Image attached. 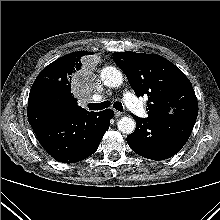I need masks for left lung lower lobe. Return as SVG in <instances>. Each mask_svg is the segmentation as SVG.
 Instances as JSON below:
<instances>
[{
  "instance_id": "1",
  "label": "left lung lower lobe",
  "mask_w": 220,
  "mask_h": 220,
  "mask_svg": "<svg viewBox=\"0 0 220 220\" xmlns=\"http://www.w3.org/2000/svg\"><path fill=\"white\" fill-rule=\"evenodd\" d=\"M134 118L136 129L126 138L127 143L135 153L151 160H164L179 152L191 135L196 120L187 117Z\"/></svg>"
}]
</instances>
